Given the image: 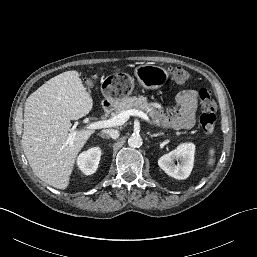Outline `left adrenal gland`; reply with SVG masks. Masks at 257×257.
Wrapping results in <instances>:
<instances>
[{"label": "left adrenal gland", "mask_w": 257, "mask_h": 257, "mask_svg": "<svg viewBox=\"0 0 257 257\" xmlns=\"http://www.w3.org/2000/svg\"><path fill=\"white\" fill-rule=\"evenodd\" d=\"M150 137H157V136H161V135H164V133H155V134H149Z\"/></svg>", "instance_id": "left-adrenal-gland-1"}]
</instances>
